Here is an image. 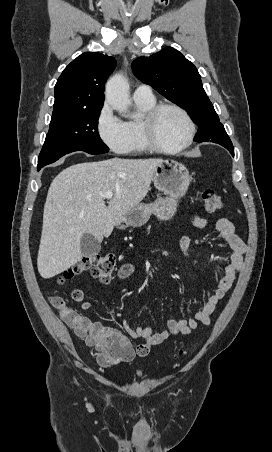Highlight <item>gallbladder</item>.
Returning <instances> with one entry per match:
<instances>
[{
  "label": "gallbladder",
  "instance_id": "1",
  "mask_svg": "<svg viewBox=\"0 0 272 452\" xmlns=\"http://www.w3.org/2000/svg\"><path fill=\"white\" fill-rule=\"evenodd\" d=\"M101 250L100 242L89 233L81 237V252L84 256H94Z\"/></svg>",
  "mask_w": 272,
  "mask_h": 452
}]
</instances>
